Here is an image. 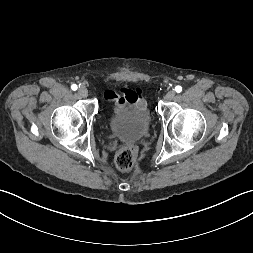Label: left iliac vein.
<instances>
[{
    "label": "left iliac vein",
    "instance_id": "obj_1",
    "mask_svg": "<svg viewBox=\"0 0 253 253\" xmlns=\"http://www.w3.org/2000/svg\"><path fill=\"white\" fill-rule=\"evenodd\" d=\"M174 97H175V92L173 90L168 91L165 95V99L168 101L174 99Z\"/></svg>",
    "mask_w": 253,
    "mask_h": 253
}]
</instances>
